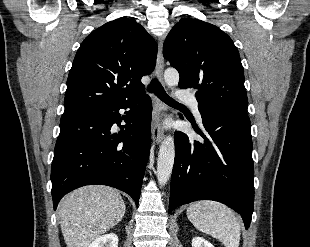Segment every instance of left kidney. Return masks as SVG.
<instances>
[{"mask_svg":"<svg viewBox=\"0 0 310 247\" xmlns=\"http://www.w3.org/2000/svg\"><path fill=\"white\" fill-rule=\"evenodd\" d=\"M192 247H214V246L202 237H194L192 239Z\"/></svg>","mask_w":310,"mask_h":247,"instance_id":"left-kidney-1","label":"left kidney"}]
</instances>
